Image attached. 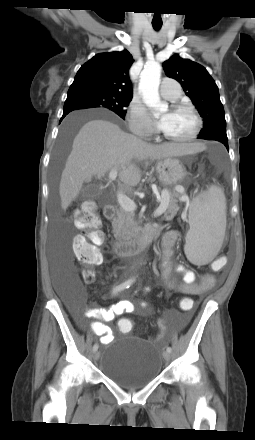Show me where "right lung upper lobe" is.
<instances>
[{"label": "right lung upper lobe", "mask_w": 255, "mask_h": 440, "mask_svg": "<svg viewBox=\"0 0 255 440\" xmlns=\"http://www.w3.org/2000/svg\"><path fill=\"white\" fill-rule=\"evenodd\" d=\"M133 61L127 50L95 55L78 70L68 95L103 92L132 96L129 68Z\"/></svg>", "instance_id": "right-lung-upper-lobe-1"}]
</instances>
